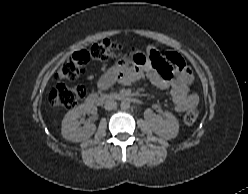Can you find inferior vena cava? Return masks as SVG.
Wrapping results in <instances>:
<instances>
[{"label":"inferior vena cava","mask_w":248,"mask_h":194,"mask_svg":"<svg viewBox=\"0 0 248 194\" xmlns=\"http://www.w3.org/2000/svg\"><path fill=\"white\" fill-rule=\"evenodd\" d=\"M104 107L106 110H113L117 108V103L113 100H108L105 102Z\"/></svg>","instance_id":"inferior-vena-cava-1"}]
</instances>
